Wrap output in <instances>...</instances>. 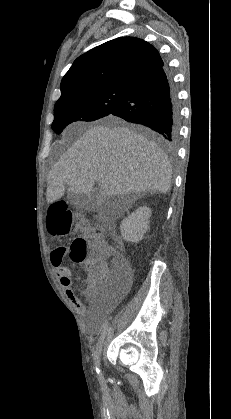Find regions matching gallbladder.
<instances>
[{"label": "gallbladder", "mask_w": 231, "mask_h": 419, "mask_svg": "<svg viewBox=\"0 0 231 419\" xmlns=\"http://www.w3.org/2000/svg\"><path fill=\"white\" fill-rule=\"evenodd\" d=\"M68 198L72 204L78 207H82L85 205V200L87 199V195H77L74 193H69Z\"/></svg>", "instance_id": "gallbladder-1"}]
</instances>
